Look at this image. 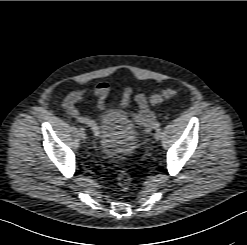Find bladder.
Returning a JSON list of instances; mask_svg holds the SVG:
<instances>
[{"label":"bladder","mask_w":247,"mask_h":245,"mask_svg":"<svg viewBox=\"0 0 247 245\" xmlns=\"http://www.w3.org/2000/svg\"><path fill=\"white\" fill-rule=\"evenodd\" d=\"M138 132L127 120L125 112L111 107L102 113L97 131L100 152L111 160H124L137 147Z\"/></svg>","instance_id":"31cf9c89"}]
</instances>
